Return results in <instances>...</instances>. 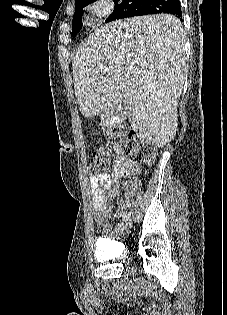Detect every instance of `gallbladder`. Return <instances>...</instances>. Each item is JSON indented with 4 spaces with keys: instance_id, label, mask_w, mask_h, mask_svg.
<instances>
[{
    "instance_id": "gallbladder-1",
    "label": "gallbladder",
    "mask_w": 227,
    "mask_h": 315,
    "mask_svg": "<svg viewBox=\"0 0 227 315\" xmlns=\"http://www.w3.org/2000/svg\"><path fill=\"white\" fill-rule=\"evenodd\" d=\"M121 110H122V112H124L125 108L123 107Z\"/></svg>"
}]
</instances>
